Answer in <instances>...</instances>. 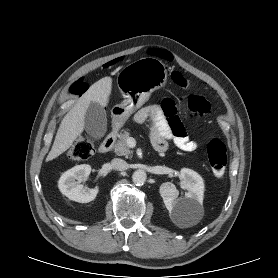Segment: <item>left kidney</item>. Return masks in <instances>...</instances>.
<instances>
[{
	"instance_id": "1",
	"label": "left kidney",
	"mask_w": 278,
	"mask_h": 278,
	"mask_svg": "<svg viewBox=\"0 0 278 278\" xmlns=\"http://www.w3.org/2000/svg\"><path fill=\"white\" fill-rule=\"evenodd\" d=\"M182 184L187 193L184 198H178V190L170 182L160 186V194L170 215L176 220H189L202 211L204 182L195 171L183 168L180 171Z\"/></svg>"
}]
</instances>
